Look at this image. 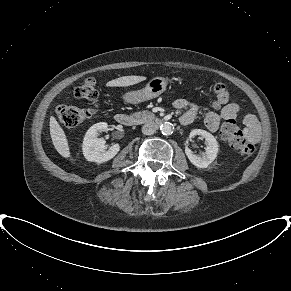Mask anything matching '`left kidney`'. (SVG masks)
I'll return each mask as SVG.
<instances>
[{"label":"left kidney","instance_id":"5707ae66","mask_svg":"<svg viewBox=\"0 0 291 291\" xmlns=\"http://www.w3.org/2000/svg\"><path fill=\"white\" fill-rule=\"evenodd\" d=\"M200 135L205 138L206 148L205 152L201 156L195 155L188 146L185 147V153L189 159V161L195 165L197 168L203 169L207 168L216 158L218 153V142L215 137L202 129H194L190 132V138Z\"/></svg>","mask_w":291,"mask_h":291}]
</instances>
